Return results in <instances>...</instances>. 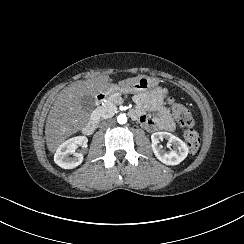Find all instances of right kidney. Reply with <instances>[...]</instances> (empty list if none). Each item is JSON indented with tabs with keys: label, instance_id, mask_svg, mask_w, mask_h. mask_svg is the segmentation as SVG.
Segmentation results:
<instances>
[{
	"label": "right kidney",
	"instance_id": "obj_1",
	"mask_svg": "<svg viewBox=\"0 0 244 244\" xmlns=\"http://www.w3.org/2000/svg\"><path fill=\"white\" fill-rule=\"evenodd\" d=\"M88 139L86 136H76L68 139L61 144L54 155V162L63 169H73L83 161V154L76 153L78 146L87 147ZM73 154L74 157H69Z\"/></svg>",
	"mask_w": 244,
	"mask_h": 244
}]
</instances>
